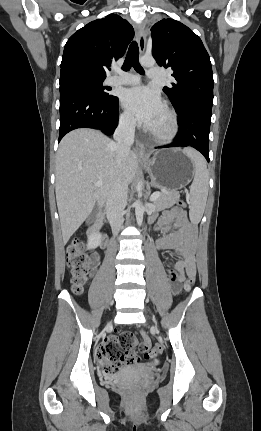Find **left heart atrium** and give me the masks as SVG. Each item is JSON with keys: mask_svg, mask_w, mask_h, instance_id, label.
I'll use <instances>...</instances> for the list:
<instances>
[{"mask_svg": "<svg viewBox=\"0 0 261 431\" xmlns=\"http://www.w3.org/2000/svg\"><path fill=\"white\" fill-rule=\"evenodd\" d=\"M122 104L136 121L147 128L155 124L165 108L159 93L147 86L127 89Z\"/></svg>", "mask_w": 261, "mask_h": 431, "instance_id": "left-heart-atrium-1", "label": "left heart atrium"}]
</instances>
